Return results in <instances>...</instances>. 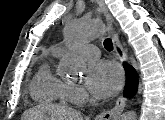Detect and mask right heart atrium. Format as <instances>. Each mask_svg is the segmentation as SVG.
<instances>
[{
	"label": "right heart atrium",
	"instance_id": "d8ad5b80",
	"mask_svg": "<svg viewBox=\"0 0 165 120\" xmlns=\"http://www.w3.org/2000/svg\"><path fill=\"white\" fill-rule=\"evenodd\" d=\"M70 98L73 102L82 103L87 99V94L81 86H70Z\"/></svg>",
	"mask_w": 165,
	"mask_h": 120
}]
</instances>
